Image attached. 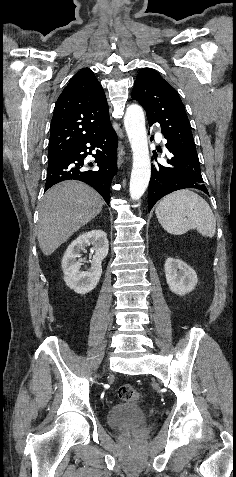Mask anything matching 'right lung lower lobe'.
I'll return each mask as SVG.
<instances>
[{
    "instance_id": "obj_1",
    "label": "right lung lower lobe",
    "mask_w": 236,
    "mask_h": 477,
    "mask_svg": "<svg viewBox=\"0 0 236 477\" xmlns=\"http://www.w3.org/2000/svg\"><path fill=\"white\" fill-rule=\"evenodd\" d=\"M117 144L111 123L89 135L66 156L48 163L45 191L64 180H80L92 186L109 204L110 185L117 172ZM93 150L96 154H92ZM88 155L95 158L97 168H88L84 161Z\"/></svg>"
}]
</instances>
